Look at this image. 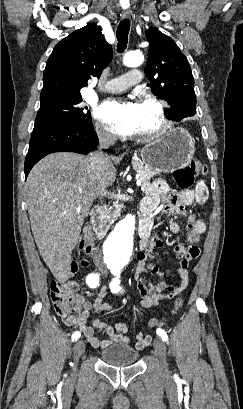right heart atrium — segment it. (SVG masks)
<instances>
[{
	"label": "right heart atrium",
	"instance_id": "d8ad5b80",
	"mask_svg": "<svg viewBox=\"0 0 243 409\" xmlns=\"http://www.w3.org/2000/svg\"><path fill=\"white\" fill-rule=\"evenodd\" d=\"M95 131L101 141L110 142L113 140L112 134L102 124H96Z\"/></svg>",
	"mask_w": 243,
	"mask_h": 409
}]
</instances>
